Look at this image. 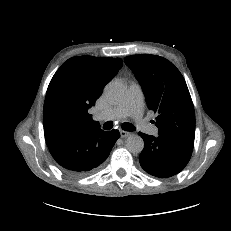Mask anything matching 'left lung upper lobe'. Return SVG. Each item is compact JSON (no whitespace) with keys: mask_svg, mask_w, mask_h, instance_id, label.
I'll return each instance as SVG.
<instances>
[{"mask_svg":"<svg viewBox=\"0 0 231 231\" xmlns=\"http://www.w3.org/2000/svg\"><path fill=\"white\" fill-rule=\"evenodd\" d=\"M125 63L140 82L148 108L157 114L158 134L194 141V106L180 71L157 55L127 56Z\"/></svg>","mask_w":231,"mask_h":231,"instance_id":"left-lung-upper-lobe-1","label":"left lung upper lobe"}]
</instances>
